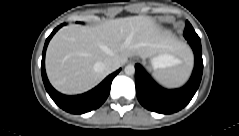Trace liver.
Listing matches in <instances>:
<instances>
[{
	"instance_id": "obj_1",
	"label": "liver",
	"mask_w": 239,
	"mask_h": 136,
	"mask_svg": "<svg viewBox=\"0 0 239 136\" xmlns=\"http://www.w3.org/2000/svg\"><path fill=\"white\" fill-rule=\"evenodd\" d=\"M183 49L149 16L118 18L94 27L71 24L61 28L50 41L46 72L58 91L79 94L110 73L105 68L110 59L123 65L132 56L148 58L161 51Z\"/></svg>"
}]
</instances>
